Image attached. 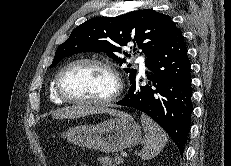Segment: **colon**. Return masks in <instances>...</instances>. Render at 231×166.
I'll return each mask as SVG.
<instances>
[{
  "label": "colon",
  "mask_w": 231,
  "mask_h": 166,
  "mask_svg": "<svg viewBox=\"0 0 231 166\" xmlns=\"http://www.w3.org/2000/svg\"><path fill=\"white\" fill-rule=\"evenodd\" d=\"M73 166H88V165L85 164V163L74 162V163H73Z\"/></svg>",
  "instance_id": "colon-1"
}]
</instances>
